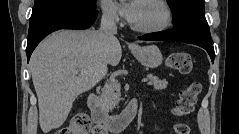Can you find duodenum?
Listing matches in <instances>:
<instances>
[{"instance_id":"obj_1","label":"duodenum","mask_w":239,"mask_h":134,"mask_svg":"<svg viewBox=\"0 0 239 134\" xmlns=\"http://www.w3.org/2000/svg\"><path fill=\"white\" fill-rule=\"evenodd\" d=\"M87 106L91 111V118L94 123L109 132L118 133L127 127L137 116L140 101L137 98L132 99L125 109L117 115L108 114L95 94L88 95Z\"/></svg>"}]
</instances>
